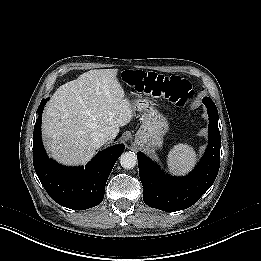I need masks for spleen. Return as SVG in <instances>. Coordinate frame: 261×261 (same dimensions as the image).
Wrapping results in <instances>:
<instances>
[{
  "label": "spleen",
  "instance_id": "3e777b00",
  "mask_svg": "<svg viewBox=\"0 0 261 261\" xmlns=\"http://www.w3.org/2000/svg\"><path fill=\"white\" fill-rule=\"evenodd\" d=\"M197 162L194 148L188 144L175 145L167 155L168 170L173 175H185L192 170Z\"/></svg>",
  "mask_w": 261,
  "mask_h": 261
}]
</instances>
